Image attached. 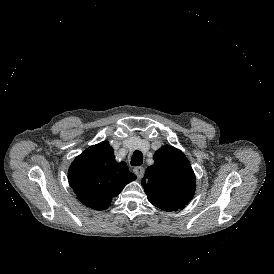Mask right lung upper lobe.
<instances>
[{
    "label": "right lung upper lobe",
    "instance_id": "cb5924a9",
    "mask_svg": "<svg viewBox=\"0 0 274 274\" xmlns=\"http://www.w3.org/2000/svg\"><path fill=\"white\" fill-rule=\"evenodd\" d=\"M68 179L82 204L105 210L112 199L136 179V175L129 171L124 161L116 162L113 148L103 141L75 158L69 168Z\"/></svg>",
    "mask_w": 274,
    "mask_h": 274
}]
</instances>
